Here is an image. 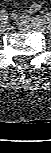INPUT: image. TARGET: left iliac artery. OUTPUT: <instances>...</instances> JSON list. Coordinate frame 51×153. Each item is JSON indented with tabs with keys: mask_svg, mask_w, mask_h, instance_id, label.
Masks as SVG:
<instances>
[{
	"mask_svg": "<svg viewBox=\"0 0 51 153\" xmlns=\"http://www.w3.org/2000/svg\"><path fill=\"white\" fill-rule=\"evenodd\" d=\"M26 19H30V18H26ZM37 21L41 22L43 24L44 23L47 24L46 26H47V28H49V27H51V14L48 13L41 18H37Z\"/></svg>",
	"mask_w": 51,
	"mask_h": 153,
	"instance_id": "1",
	"label": "left iliac artery"
}]
</instances>
